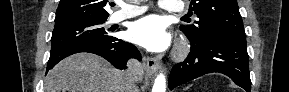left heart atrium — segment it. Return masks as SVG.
Instances as JSON below:
<instances>
[{"mask_svg": "<svg viewBox=\"0 0 289 92\" xmlns=\"http://www.w3.org/2000/svg\"><path fill=\"white\" fill-rule=\"evenodd\" d=\"M128 37L133 43L154 52L167 49L171 43L164 22L156 15L133 22L128 30Z\"/></svg>", "mask_w": 289, "mask_h": 92, "instance_id": "left-heart-atrium-1", "label": "left heart atrium"}]
</instances>
